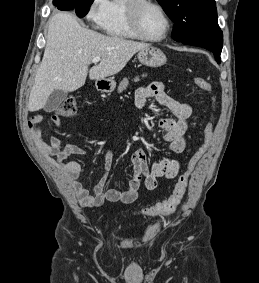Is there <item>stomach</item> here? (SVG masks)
Masks as SVG:
<instances>
[{
  "instance_id": "0dacf381",
  "label": "stomach",
  "mask_w": 259,
  "mask_h": 283,
  "mask_svg": "<svg viewBox=\"0 0 259 283\" xmlns=\"http://www.w3.org/2000/svg\"><path fill=\"white\" fill-rule=\"evenodd\" d=\"M137 58L140 63L149 67H160L166 63V56L164 53L152 46H148L141 49L138 52ZM116 86L113 79L98 80L96 82V88L102 92H112Z\"/></svg>"
}]
</instances>
